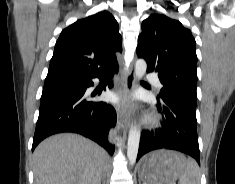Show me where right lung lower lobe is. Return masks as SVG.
I'll list each match as a JSON object with an SVG mask.
<instances>
[{
    "label": "right lung lower lobe",
    "instance_id": "obj_1",
    "mask_svg": "<svg viewBox=\"0 0 235 184\" xmlns=\"http://www.w3.org/2000/svg\"><path fill=\"white\" fill-rule=\"evenodd\" d=\"M118 71V66L111 69ZM108 72V71H107ZM107 72L91 75L48 74L45 80L32 151L46 137L62 132L81 134L104 147L110 155L115 147L108 141V132L116 124L114 108L105 102L90 101L85 94L93 79ZM113 84L109 85L112 88Z\"/></svg>",
    "mask_w": 235,
    "mask_h": 184
}]
</instances>
